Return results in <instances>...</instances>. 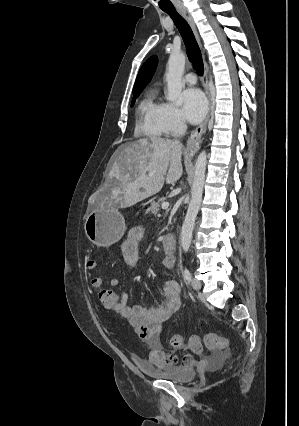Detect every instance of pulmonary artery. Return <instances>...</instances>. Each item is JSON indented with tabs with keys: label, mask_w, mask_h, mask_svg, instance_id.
<instances>
[{
	"label": "pulmonary artery",
	"mask_w": 299,
	"mask_h": 426,
	"mask_svg": "<svg viewBox=\"0 0 299 426\" xmlns=\"http://www.w3.org/2000/svg\"><path fill=\"white\" fill-rule=\"evenodd\" d=\"M184 81L187 84L193 85L196 83V76L194 73H188L184 76Z\"/></svg>",
	"instance_id": "e3ab8cb5"
}]
</instances>
